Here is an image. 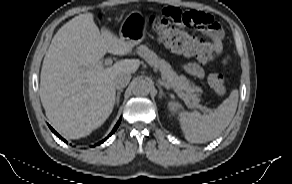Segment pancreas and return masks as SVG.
Instances as JSON below:
<instances>
[{
	"label": "pancreas",
	"instance_id": "obj_1",
	"mask_svg": "<svg viewBox=\"0 0 292 184\" xmlns=\"http://www.w3.org/2000/svg\"><path fill=\"white\" fill-rule=\"evenodd\" d=\"M137 53L155 70H159L161 73V78L165 84L173 89L178 90L183 93V99L187 101V105L190 108L198 107L200 101L199 94L202 90L201 88L194 86L185 76H178L176 72L173 71L170 64L164 59H160L153 51H151L147 46L141 45L137 49Z\"/></svg>",
	"mask_w": 292,
	"mask_h": 184
}]
</instances>
